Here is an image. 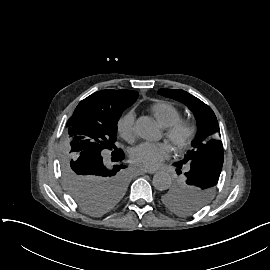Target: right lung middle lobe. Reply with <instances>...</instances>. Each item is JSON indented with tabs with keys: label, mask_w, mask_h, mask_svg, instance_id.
<instances>
[{
	"label": "right lung middle lobe",
	"mask_w": 270,
	"mask_h": 270,
	"mask_svg": "<svg viewBox=\"0 0 270 270\" xmlns=\"http://www.w3.org/2000/svg\"><path fill=\"white\" fill-rule=\"evenodd\" d=\"M126 107L102 106L92 94L78 104L67 122L58 149L61 181L78 208L87 214H105L125 197L127 176L120 171L122 167L115 166L122 164L124 153L114 143L117 121ZM103 150L105 154L111 151L115 165L107 168L103 164Z\"/></svg>",
	"instance_id": "dd1d6c3e"
}]
</instances>
